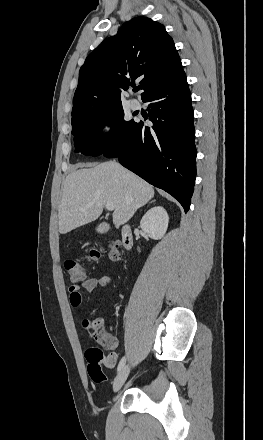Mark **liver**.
<instances>
[{
	"instance_id": "1",
	"label": "liver",
	"mask_w": 263,
	"mask_h": 440,
	"mask_svg": "<svg viewBox=\"0 0 263 440\" xmlns=\"http://www.w3.org/2000/svg\"><path fill=\"white\" fill-rule=\"evenodd\" d=\"M153 197L149 183L116 161L82 165L65 179L58 212L59 232L66 234L96 220L107 202L115 206L113 223L123 225Z\"/></svg>"
}]
</instances>
